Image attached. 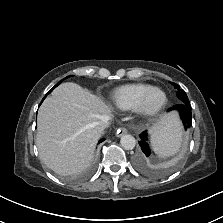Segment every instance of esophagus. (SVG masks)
Wrapping results in <instances>:
<instances>
[{"mask_svg": "<svg viewBox=\"0 0 223 223\" xmlns=\"http://www.w3.org/2000/svg\"><path fill=\"white\" fill-rule=\"evenodd\" d=\"M127 131H128L127 128L121 127L117 130L116 135H117V137H120V136L126 134Z\"/></svg>", "mask_w": 223, "mask_h": 223, "instance_id": "esophagus-1", "label": "esophagus"}]
</instances>
